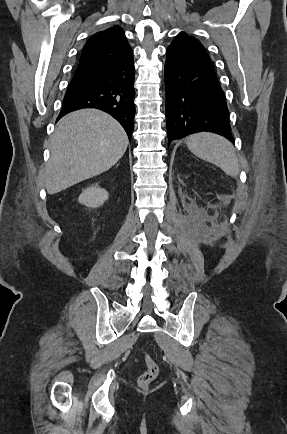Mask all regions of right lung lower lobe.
Here are the masks:
<instances>
[{
  "label": "right lung lower lobe",
  "mask_w": 287,
  "mask_h": 434,
  "mask_svg": "<svg viewBox=\"0 0 287 434\" xmlns=\"http://www.w3.org/2000/svg\"><path fill=\"white\" fill-rule=\"evenodd\" d=\"M134 60L123 59L77 68L58 119L81 108H98L118 120L129 139L134 129Z\"/></svg>",
  "instance_id": "1"
}]
</instances>
